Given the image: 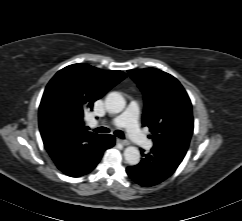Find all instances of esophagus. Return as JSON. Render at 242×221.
<instances>
[{
	"label": "esophagus",
	"instance_id": "1",
	"mask_svg": "<svg viewBox=\"0 0 242 221\" xmlns=\"http://www.w3.org/2000/svg\"><path fill=\"white\" fill-rule=\"evenodd\" d=\"M117 141H118L119 143H121L122 145H124V146L129 145V142L126 141V140H123V139L118 138Z\"/></svg>",
	"mask_w": 242,
	"mask_h": 221
}]
</instances>
